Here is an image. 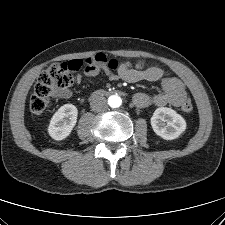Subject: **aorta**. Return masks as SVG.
Instances as JSON below:
<instances>
[{
    "label": "aorta",
    "instance_id": "obj_1",
    "mask_svg": "<svg viewBox=\"0 0 225 225\" xmlns=\"http://www.w3.org/2000/svg\"><path fill=\"white\" fill-rule=\"evenodd\" d=\"M109 104L112 108L120 107L122 104V99L118 95H113L109 98Z\"/></svg>",
    "mask_w": 225,
    "mask_h": 225
}]
</instances>
